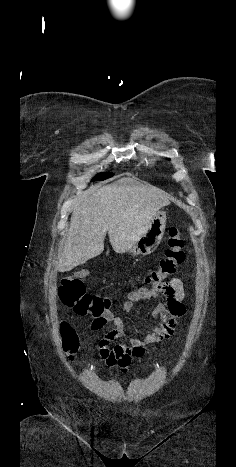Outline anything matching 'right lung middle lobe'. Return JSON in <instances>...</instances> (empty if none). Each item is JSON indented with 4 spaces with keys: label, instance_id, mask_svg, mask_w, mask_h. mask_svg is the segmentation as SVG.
<instances>
[{
    "label": "right lung middle lobe",
    "instance_id": "obj_1",
    "mask_svg": "<svg viewBox=\"0 0 236 467\" xmlns=\"http://www.w3.org/2000/svg\"><path fill=\"white\" fill-rule=\"evenodd\" d=\"M114 174L113 173H105V174H99L96 179L98 180H105L107 178L112 177Z\"/></svg>",
    "mask_w": 236,
    "mask_h": 467
}]
</instances>
